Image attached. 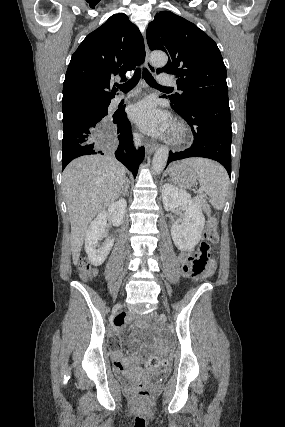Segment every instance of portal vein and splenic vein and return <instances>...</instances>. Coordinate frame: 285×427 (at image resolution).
Instances as JSON below:
<instances>
[{
    "label": "portal vein and splenic vein",
    "mask_w": 285,
    "mask_h": 427,
    "mask_svg": "<svg viewBox=\"0 0 285 427\" xmlns=\"http://www.w3.org/2000/svg\"><path fill=\"white\" fill-rule=\"evenodd\" d=\"M200 194H201V196H203L204 195V193H203V191H198ZM199 197H196V199H198Z\"/></svg>",
    "instance_id": "1"
}]
</instances>
